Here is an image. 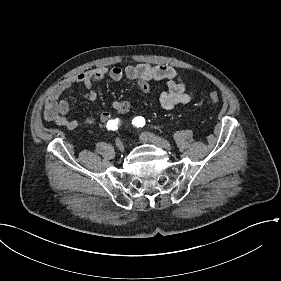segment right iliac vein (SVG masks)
<instances>
[{
    "label": "right iliac vein",
    "instance_id": "1",
    "mask_svg": "<svg viewBox=\"0 0 281 281\" xmlns=\"http://www.w3.org/2000/svg\"><path fill=\"white\" fill-rule=\"evenodd\" d=\"M116 146L120 151H124V145L121 139L119 138L116 139Z\"/></svg>",
    "mask_w": 281,
    "mask_h": 281
}]
</instances>
